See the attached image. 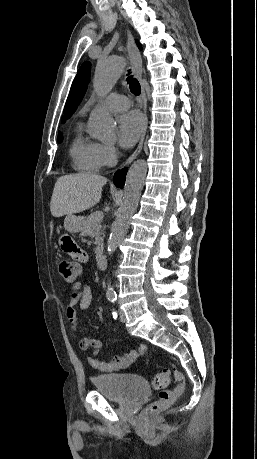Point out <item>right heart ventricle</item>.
Returning a JSON list of instances; mask_svg holds the SVG:
<instances>
[{"instance_id": "1", "label": "right heart ventricle", "mask_w": 257, "mask_h": 459, "mask_svg": "<svg viewBox=\"0 0 257 459\" xmlns=\"http://www.w3.org/2000/svg\"><path fill=\"white\" fill-rule=\"evenodd\" d=\"M99 143L84 136L82 125L78 126L77 135L70 147L73 167L82 172H97L102 167L99 158Z\"/></svg>"}]
</instances>
